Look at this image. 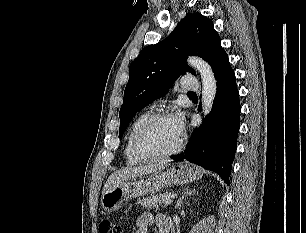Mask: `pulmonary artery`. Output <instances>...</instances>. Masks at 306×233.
Returning a JSON list of instances; mask_svg holds the SVG:
<instances>
[{"instance_id":"obj_1","label":"pulmonary artery","mask_w":306,"mask_h":233,"mask_svg":"<svg viewBox=\"0 0 306 233\" xmlns=\"http://www.w3.org/2000/svg\"><path fill=\"white\" fill-rule=\"evenodd\" d=\"M181 87L184 91H197L200 88L199 82L197 79L192 77H183L181 80Z\"/></svg>"}]
</instances>
